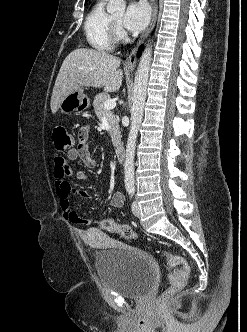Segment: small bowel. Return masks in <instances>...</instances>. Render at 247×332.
Returning <instances> with one entry per match:
<instances>
[{
  "label": "small bowel",
  "mask_w": 247,
  "mask_h": 332,
  "mask_svg": "<svg viewBox=\"0 0 247 332\" xmlns=\"http://www.w3.org/2000/svg\"><path fill=\"white\" fill-rule=\"evenodd\" d=\"M90 127L83 125L79 129V144L67 152L66 158L56 157L54 162L53 176L55 180L56 194L59 198L60 206L65 217L75 225L89 226L93 219L82 217L76 210L71 207V197L78 194L84 198H90L92 195L87 191L75 192L73 186L67 180L69 176H75L79 180H87L88 176L83 171H73L70 161L80 159L88 168H94L97 164L96 158L92 154L89 144ZM124 196L121 192L115 191L111 194L108 204L114 208L122 207Z\"/></svg>",
  "instance_id": "obj_1"
}]
</instances>
